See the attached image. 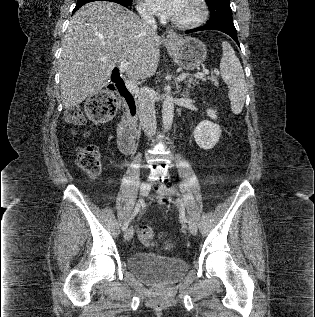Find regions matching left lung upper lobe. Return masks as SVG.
<instances>
[{"instance_id": "left-lung-upper-lobe-1", "label": "left lung upper lobe", "mask_w": 315, "mask_h": 317, "mask_svg": "<svg viewBox=\"0 0 315 317\" xmlns=\"http://www.w3.org/2000/svg\"><path fill=\"white\" fill-rule=\"evenodd\" d=\"M209 10V23L218 25L222 23H233L232 10L229 0H205Z\"/></svg>"}]
</instances>
